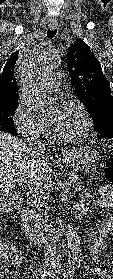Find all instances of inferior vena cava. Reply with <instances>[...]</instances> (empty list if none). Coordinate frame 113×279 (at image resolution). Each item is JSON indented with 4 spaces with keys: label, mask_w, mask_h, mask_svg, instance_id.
<instances>
[{
    "label": "inferior vena cava",
    "mask_w": 113,
    "mask_h": 279,
    "mask_svg": "<svg viewBox=\"0 0 113 279\" xmlns=\"http://www.w3.org/2000/svg\"><path fill=\"white\" fill-rule=\"evenodd\" d=\"M32 149L39 152H44L45 145L40 140H33L30 145ZM44 268L48 272L57 273L61 269L60 255L55 242H50L46 245V251L44 254Z\"/></svg>",
    "instance_id": "1"
}]
</instances>
